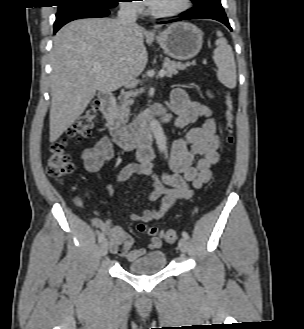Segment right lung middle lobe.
Segmentation results:
<instances>
[{"label": "right lung middle lobe", "instance_id": "right-lung-middle-lobe-1", "mask_svg": "<svg viewBox=\"0 0 304 329\" xmlns=\"http://www.w3.org/2000/svg\"><path fill=\"white\" fill-rule=\"evenodd\" d=\"M58 12L75 6H103L110 7L117 4V0H59Z\"/></svg>", "mask_w": 304, "mask_h": 329}]
</instances>
